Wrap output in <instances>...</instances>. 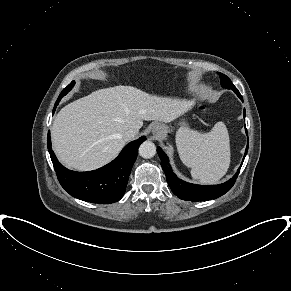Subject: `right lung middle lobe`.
<instances>
[{
    "label": "right lung middle lobe",
    "mask_w": 291,
    "mask_h": 291,
    "mask_svg": "<svg viewBox=\"0 0 291 291\" xmlns=\"http://www.w3.org/2000/svg\"><path fill=\"white\" fill-rule=\"evenodd\" d=\"M74 84H75V81H72L65 89H63V91L60 93V95L55 103L54 110H55L56 106L58 105V103L60 102L61 98L63 96H65L73 88Z\"/></svg>",
    "instance_id": "dd1d6c3e"
}]
</instances>
